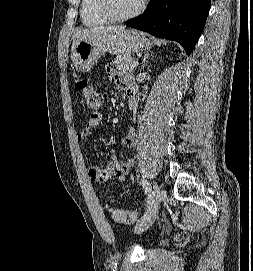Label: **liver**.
Here are the masks:
<instances>
[{
    "mask_svg": "<svg viewBox=\"0 0 253 271\" xmlns=\"http://www.w3.org/2000/svg\"><path fill=\"white\" fill-rule=\"evenodd\" d=\"M123 29H125V27H123V26H108V27L102 26V27H93L90 29L79 30L73 35V38H74L73 46L76 43V41L83 39V38H87L88 36H90L92 34L118 31V30H123Z\"/></svg>",
    "mask_w": 253,
    "mask_h": 271,
    "instance_id": "1",
    "label": "liver"
}]
</instances>
